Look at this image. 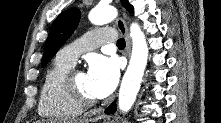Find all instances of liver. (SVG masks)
Segmentation results:
<instances>
[{"label": "liver", "mask_w": 221, "mask_h": 123, "mask_svg": "<svg viewBox=\"0 0 221 123\" xmlns=\"http://www.w3.org/2000/svg\"><path fill=\"white\" fill-rule=\"evenodd\" d=\"M36 123H44V121H42V122L37 121ZM71 123H87V122L84 120L74 119V120H71Z\"/></svg>", "instance_id": "6515ba94"}]
</instances>
